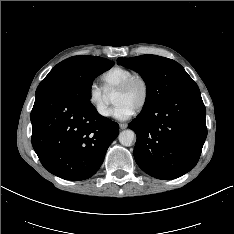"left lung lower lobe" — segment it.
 <instances>
[{
  "instance_id": "1",
  "label": "left lung lower lobe",
  "mask_w": 234,
  "mask_h": 234,
  "mask_svg": "<svg viewBox=\"0 0 234 234\" xmlns=\"http://www.w3.org/2000/svg\"><path fill=\"white\" fill-rule=\"evenodd\" d=\"M206 109L196 83L141 112L128 127L136 133L134 158L158 179H175L197 164L207 136Z\"/></svg>"
}]
</instances>
